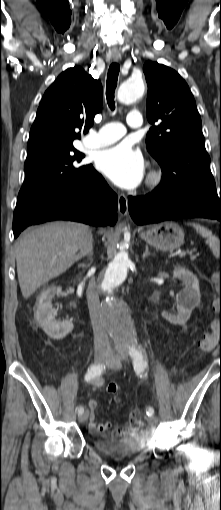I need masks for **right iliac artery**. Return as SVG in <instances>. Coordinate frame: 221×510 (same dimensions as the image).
Wrapping results in <instances>:
<instances>
[{"instance_id":"1","label":"right iliac artery","mask_w":221,"mask_h":510,"mask_svg":"<svg viewBox=\"0 0 221 510\" xmlns=\"http://www.w3.org/2000/svg\"><path fill=\"white\" fill-rule=\"evenodd\" d=\"M105 365L103 364H93L88 369L86 375H85V381L89 382L94 380L95 378H99L102 373L105 370ZM76 411L78 414H81L84 411V408L82 406L76 408Z\"/></svg>"}]
</instances>
